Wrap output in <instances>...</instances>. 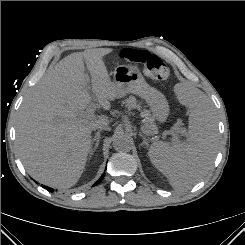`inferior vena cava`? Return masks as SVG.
<instances>
[{"label": "inferior vena cava", "instance_id": "obj_1", "mask_svg": "<svg viewBox=\"0 0 245 245\" xmlns=\"http://www.w3.org/2000/svg\"><path fill=\"white\" fill-rule=\"evenodd\" d=\"M93 129L96 130V129H105V130H109V126L108 125H105V124H101V123H96L93 125Z\"/></svg>", "mask_w": 245, "mask_h": 245}]
</instances>
